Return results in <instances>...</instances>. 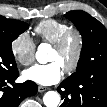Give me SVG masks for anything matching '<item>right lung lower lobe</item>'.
Returning a JSON list of instances; mask_svg holds the SVG:
<instances>
[{
	"instance_id": "right-lung-lower-lobe-1",
	"label": "right lung lower lobe",
	"mask_w": 107,
	"mask_h": 107,
	"mask_svg": "<svg viewBox=\"0 0 107 107\" xmlns=\"http://www.w3.org/2000/svg\"><path fill=\"white\" fill-rule=\"evenodd\" d=\"M19 72L0 79V107H18L20 102L29 96H34L37 92V84L33 81H26L18 84L14 83ZM11 84L12 87L7 86Z\"/></svg>"
}]
</instances>
